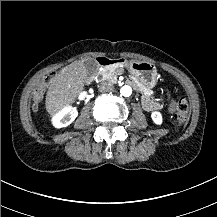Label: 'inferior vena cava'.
I'll return each instance as SVG.
<instances>
[{"label":"inferior vena cava","instance_id":"inferior-vena-cava-1","mask_svg":"<svg viewBox=\"0 0 217 217\" xmlns=\"http://www.w3.org/2000/svg\"><path fill=\"white\" fill-rule=\"evenodd\" d=\"M98 90L102 93H107L112 90V85L107 81H102L98 85Z\"/></svg>","mask_w":217,"mask_h":217}]
</instances>
